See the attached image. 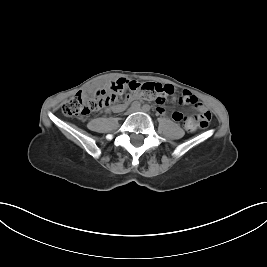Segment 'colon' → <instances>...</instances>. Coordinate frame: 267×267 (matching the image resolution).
<instances>
[{
	"label": "colon",
	"instance_id": "obj_1",
	"mask_svg": "<svg viewBox=\"0 0 267 267\" xmlns=\"http://www.w3.org/2000/svg\"><path fill=\"white\" fill-rule=\"evenodd\" d=\"M173 90L169 84L155 82L137 81H117L109 88L98 90L93 97H86L83 93H77L67 99L62 105V111L69 117L79 119L86 118L90 113L101 110L119 100H129L133 96L142 97L144 100L163 104L171 96ZM183 104L193 105L196 114L190 117L196 127L206 128L211 121V113L202 107L197 98L187 92H183L180 97ZM180 114H173V118L178 120Z\"/></svg>",
	"mask_w": 267,
	"mask_h": 267
}]
</instances>
